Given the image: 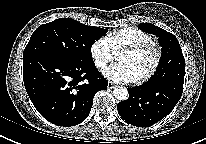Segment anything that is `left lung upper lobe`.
Listing matches in <instances>:
<instances>
[{
  "label": "left lung upper lobe",
  "instance_id": "1",
  "mask_svg": "<svg viewBox=\"0 0 206 144\" xmlns=\"http://www.w3.org/2000/svg\"><path fill=\"white\" fill-rule=\"evenodd\" d=\"M139 28L158 37L162 47V55L155 74L148 82H158L173 69L185 68V60L177 38L170 32L151 23H143Z\"/></svg>",
  "mask_w": 206,
  "mask_h": 144
}]
</instances>
